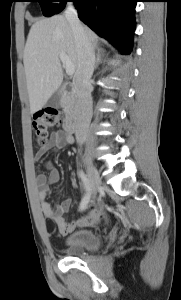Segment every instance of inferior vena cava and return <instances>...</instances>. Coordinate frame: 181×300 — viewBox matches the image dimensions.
<instances>
[{
	"label": "inferior vena cava",
	"mask_w": 181,
	"mask_h": 300,
	"mask_svg": "<svg viewBox=\"0 0 181 300\" xmlns=\"http://www.w3.org/2000/svg\"><path fill=\"white\" fill-rule=\"evenodd\" d=\"M65 18L71 27L78 54V67L73 79L77 94L75 136L77 143L82 145L86 141L87 131L92 118L91 77L94 71L95 55L78 18L77 10L72 4L67 5Z\"/></svg>",
	"instance_id": "inferior-vena-cava-1"
}]
</instances>
